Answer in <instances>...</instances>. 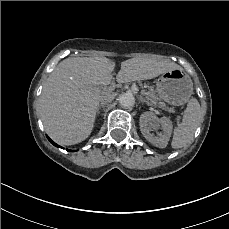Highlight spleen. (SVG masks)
Listing matches in <instances>:
<instances>
[{"label": "spleen", "mask_w": 229, "mask_h": 229, "mask_svg": "<svg viewBox=\"0 0 229 229\" xmlns=\"http://www.w3.org/2000/svg\"><path fill=\"white\" fill-rule=\"evenodd\" d=\"M203 122L200 104L192 99L183 116V121L174 129L172 140L173 148H182L192 143L196 129Z\"/></svg>", "instance_id": "3e777b00"}]
</instances>
